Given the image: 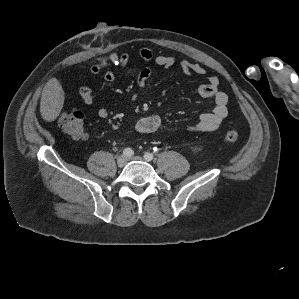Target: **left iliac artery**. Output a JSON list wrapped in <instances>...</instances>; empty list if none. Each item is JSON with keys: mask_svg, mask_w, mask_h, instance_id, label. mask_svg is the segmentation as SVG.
<instances>
[{"mask_svg": "<svg viewBox=\"0 0 299 299\" xmlns=\"http://www.w3.org/2000/svg\"><path fill=\"white\" fill-rule=\"evenodd\" d=\"M144 158H145V160H147V161H151V160L153 159V154L147 152V153H145Z\"/></svg>", "mask_w": 299, "mask_h": 299, "instance_id": "obj_1", "label": "left iliac artery"}]
</instances>
